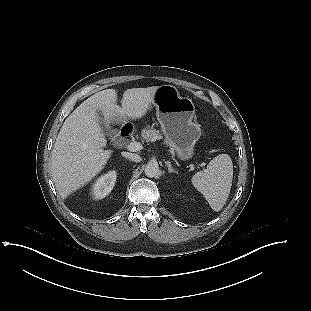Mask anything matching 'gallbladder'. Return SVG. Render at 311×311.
I'll return each mask as SVG.
<instances>
[{"label": "gallbladder", "mask_w": 311, "mask_h": 311, "mask_svg": "<svg viewBox=\"0 0 311 311\" xmlns=\"http://www.w3.org/2000/svg\"><path fill=\"white\" fill-rule=\"evenodd\" d=\"M98 123H99V125H100V127H101V129H102V132H103L105 135H108V136L113 135L114 130H112V129L109 127L108 123L104 120L103 117L98 116Z\"/></svg>", "instance_id": "bac80fb5"}]
</instances>
